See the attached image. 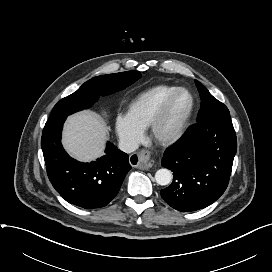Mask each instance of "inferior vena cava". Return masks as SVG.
Here are the masks:
<instances>
[{
  "label": "inferior vena cava",
  "instance_id": "1",
  "mask_svg": "<svg viewBox=\"0 0 272 272\" xmlns=\"http://www.w3.org/2000/svg\"><path fill=\"white\" fill-rule=\"evenodd\" d=\"M119 149L125 153H132L138 148V143L131 140H120Z\"/></svg>",
  "mask_w": 272,
  "mask_h": 272
}]
</instances>
